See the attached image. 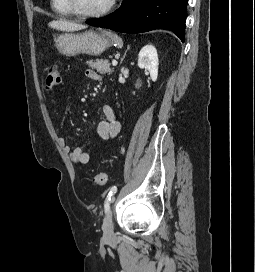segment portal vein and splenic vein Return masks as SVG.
I'll use <instances>...</instances> for the list:
<instances>
[{"mask_svg": "<svg viewBox=\"0 0 255 272\" xmlns=\"http://www.w3.org/2000/svg\"><path fill=\"white\" fill-rule=\"evenodd\" d=\"M112 65L116 66L117 65V60H112Z\"/></svg>", "mask_w": 255, "mask_h": 272, "instance_id": "18ae733b", "label": "portal vein and splenic vein"}]
</instances>
